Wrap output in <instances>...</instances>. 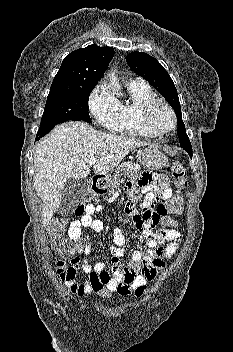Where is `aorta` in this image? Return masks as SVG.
<instances>
[{"label":"aorta","instance_id":"obj_1","mask_svg":"<svg viewBox=\"0 0 233 352\" xmlns=\"http://www.w3.org/2000/svg\"><path fill=\"white\" fill-rule=\"evenodd\" d=\"M108 77L110 80V85L112 87L113 93L116 94V96L118 97L123 96L121 85L119 83L117 76L115 75V72L112 71L111 73H109Z\"/></svg>","mask_w":233,"mask_h":352}]
</instances>
